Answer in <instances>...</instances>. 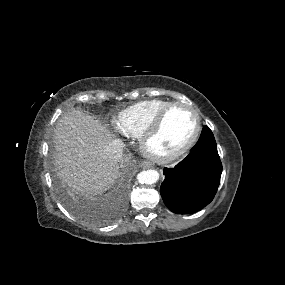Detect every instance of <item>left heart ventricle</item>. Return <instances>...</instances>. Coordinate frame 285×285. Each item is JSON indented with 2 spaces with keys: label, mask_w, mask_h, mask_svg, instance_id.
<instances>
[{
  "label": "left heart ventricle",
  "mask_w": 285,
  "mask_h": 285,
  "mask_svg": "<svg viewBox=\"0 0 285 285\" xmlns=\"http://www.w3.org/2000/svg\"><path fill=\"white\" fill-rule=\"evenodd\" d=\"M195 127V115L185 107H176L168 113L160 131L150 141L149 148L159 155L171 153L190 139Z\"/></svg>",
  "instance_id": "1"
}]
</instances>
